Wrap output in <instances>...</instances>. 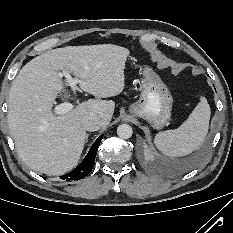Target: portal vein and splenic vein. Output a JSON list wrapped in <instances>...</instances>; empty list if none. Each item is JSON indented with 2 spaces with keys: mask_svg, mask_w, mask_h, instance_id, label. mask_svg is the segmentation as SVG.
<instances>
[{
  "mask_svg": "<svg viewBox=\"0 0 233 233\" xmlns=\"http://www.w3.org/2000/svg\"><path fill=\"white\" fill-rule=\"evenodd\" d=\"M61 75L65 76V78L67 79L68 85L71 87V89L75 93L76 92V84L80 83V80L76 79V78H72L69 75V73H67L65 71H63V73H61ZM73 108H74V105L72 103L64 102V103L57 105L54 108V112L57 115H62V114H65V113L71 111Z\"/></svg>",
  "mask_w": 233,
  "mask_h": 233,
  "instance_id": "obj_1",
  "label": "portal vein and splenic vein"
}]
</instances>
